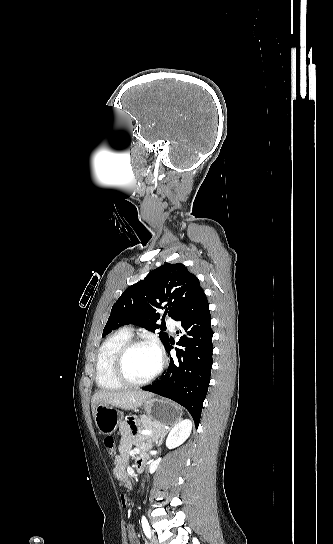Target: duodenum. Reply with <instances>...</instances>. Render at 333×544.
Here are the masks:
<instances>
[{
	"mask_svg": "<svg viewBox=\"0 0 333 544\" xmlns=\"http://www.w3.org/2000/svg\"><path fill=\"white\" fill-rule=\"evenodd\" d=\"M147 457L144 451L138 453L135 461V468L137 471H143L146 467Z\"/></svg>",
	"mask_w": 333,
	"mask_h": 544,
	"instance_id": "obj_1",
	"label": "duodenum"
}]
</instances>
